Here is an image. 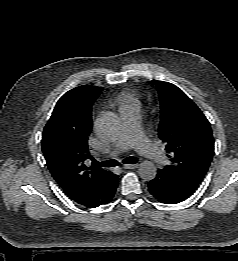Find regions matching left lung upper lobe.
<instances>
[{
  "mask_svg": "<svg viewBox=\"0 0 238 261\" xmlns=\"http://www.w3.org/2000/svg\"><path fill=\"white\" fill-rule=\"evenodd\" d=\"M160 102L159 138L171 164L163 169L197 188L214 155L210 123L197 105L177 86L153 80Z\"/></svg>",
  "mask_w": 238,
  "mask_h": 261,
  "instance_id": "1",
  "label": "left lung upper lobe"
}]
</instances>
